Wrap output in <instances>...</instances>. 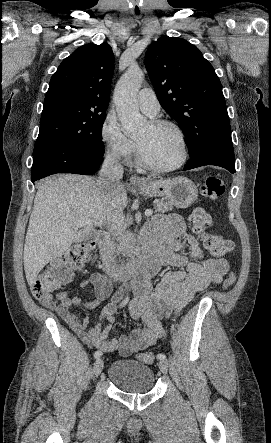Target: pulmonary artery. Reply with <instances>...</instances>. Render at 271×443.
<instances>
[{"label": "pulmonary artery", "mask_w": 271, "mask_h": 443, "mask_svg": "<svg viewBox=\"0 0 271 443\" xmlns=\"http://www.w3.org/2000/svg\"><path fill=\"white\" fill-rule=\"evenodd\" d=\"M137 104L142 112L148 116H154L160 110V105L157 97L152 89L144 88L139 91L137 98Z\"/></svg>", "instance_id": "e3ab8cb5"}]
</instances>
